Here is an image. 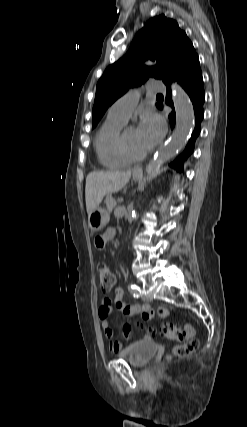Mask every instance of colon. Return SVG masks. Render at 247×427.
Returning a JSON list of instances; mask_svg holds the SVG:
<instances>
[{
    "label": "colon",
    "mask_w": 247,
    "mask_h": 427,
    "mask_svg": "<svg viewBox=\"0 0 247 427\" xmlns=\"http://www.w3.org/2000/svg\"><path fill=\"white\" fill-rule=\"evenodd\" d=\"M97 269L100 278L101 290L104 292L110 291L116 282L114 273L104 263H100ZM158 333L165 338L185 342L173 349V354L175 356L189 355L198 348V342L194 339L195 329L191 324H186L184 328H179L174 324L166 323L160 328Z\"/></svg>",
    "instance_id": "5ec220e1"
}]
</instances>
